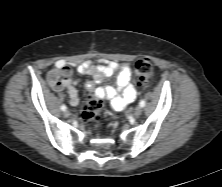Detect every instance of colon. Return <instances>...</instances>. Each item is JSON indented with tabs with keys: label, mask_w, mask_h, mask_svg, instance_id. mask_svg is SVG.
<instances>
[{
	"label": "colon",
	"mask_w": 222,
	"mask_h": 187,
	"mask_svg": "<svg viewBox=\"0 0 222 187\" xmlns=\"http://www.w3.org/2000/svg\"><path fill=\"white\" fill-rule=\"evenodd\" d=\"M136 81L138 86L146 88L150 85L154 73L152 63L146 59H139L135 63ZM102 108V101L100 98L91 96L81 112V119L83 121H89L97 119L100 116Z\"/></svg>",
	"instance_id": "1"
}]
</instances>
